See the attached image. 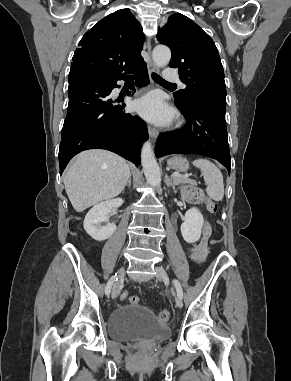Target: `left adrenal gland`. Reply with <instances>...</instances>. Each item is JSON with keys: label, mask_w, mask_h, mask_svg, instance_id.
<instances>
[{"label": "left adrenal gland", "mask_w": 291, "mask_h": 381, "mask_svg": "<svg viewBox=\"0 0 291 381\" xmlns=\"http://www.w3.org/2000/svg\"><path fill=\"white\" fill-rule=\"evenodd\" d=\"M165 182H166V185L168 187H172L173 191L176 192V189H175V183L172 182V180L170 179V177L166 174L165 176Z\"/></svg>", "instance_id": "1"}]
</instances>
